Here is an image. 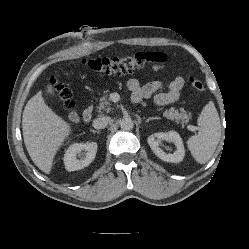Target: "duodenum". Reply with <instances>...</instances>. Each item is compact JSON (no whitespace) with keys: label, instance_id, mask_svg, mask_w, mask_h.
<instances>
[{"label":"duodenum","instance_id":"duodenum-1","mask_svg":"<svg viewBox=\"0 0 249 249\" xmlns=\"http://www.w3.org/2000/svg\"><path fill=\"white\" fill-rule=\"evenodd\" d=\"M93 117V109L91 107H87L82 114V119L84 122L88 123L91 121Z\"/></svg>","mask_w":249,"mask_h":249}]
</instances>
